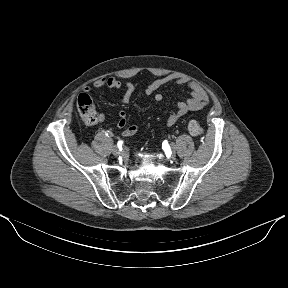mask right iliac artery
I'll return each mask as SVG.
<instances>
[{
  "label": "right iliac artery",
  "instance_id": "right-iliac-artery-1",
  "mask_svg": "<svg viewBox=\"0 0 288 288\" xmlns=\"http://www.w3.org/2000/svg\"><path fill=\"white\" fill-rule=\"evenodd\" d=\"M106 135L109 137V136H112V132H110V131H107L106 132Z\"/></svg>",
  "mask_w": 288,
  "mask_h": 288
}]
</instances>
